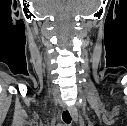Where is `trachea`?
Segmentation results:
<instances>
[{"instance_id": "3493384b", "label": "trachea", "mask_w": 127, "mask_h": 126, "mask_svg": "<svg viewBox=\"0 0 127 126\" xmlns=\"http://www.w3.org/2000/svg\"><path fill=\"white\" fill-rule=\"evenodd\" d=\"M62 119L66 124H69L71 122V116L68 111H64L62 114Z\"/></svg>"}]
</instances>
